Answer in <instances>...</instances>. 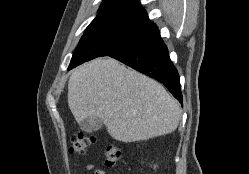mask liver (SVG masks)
<instances>
[{
	"instance_id": "6515ba94",
	"label": "liver",
	"mask_w": 249,
	"mask_h": 174,
	"mask_svg": "<svg viewBox=\"0 0 249 174\" xmlns=\"http://www.w3.org/2000/svg\"><path fill=\"white\" fill-rule=\"evenodd\" d=\"M68 105L78 123L97 116L112 138L125 143L172 133L181 119L178 102L162 85L111 58L72 71Z\"/></svg>"
}]
</instances>
